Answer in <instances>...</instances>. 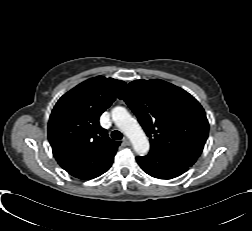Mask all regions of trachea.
<instances>
[{
	"instance_id": "1",
	"label": "trachea",
	"mask_w": 252,
	"mask_h": 231,
	"mask_svg": "<svg viewBox=\"0 0 252 231\" xmlns=\"http://www.w3.org/2000/svg\"><path fill=\"white\" fill-rule=\"evenodd\" d=\"M111 137L115 140H121L123 135L120 131L118 130H114L112 133H111Z\"/></svg>"
}]
</instances>
